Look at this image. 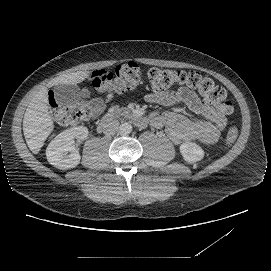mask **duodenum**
Wrapping results in <instances>:
<instances>
[{"instance_id": "410a0bca", "label": "duodenum", "mask_w": 271, "mask_h": 271, "mask_svg": "<svg viewBox=\"0 0 271 271\" xmlns=\"http://www.w3.org/2000/svg\"><path fill=\"white\" fill-rule=\"evenodd\" d=\"M117 115H123L126 118L131 119L136 125L144 126L146 124V119L142 116L136 115L132 112H119V113H110L102 117L98 124V129L104 134L112 133L116 128V117Z\"/></svg>"}]
</instances>
